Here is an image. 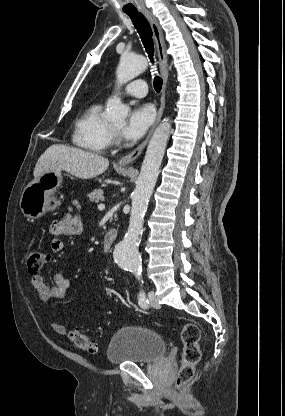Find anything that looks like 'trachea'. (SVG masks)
<instances>
[{"label": "trachea", "instance_id": "trachea-1", "mask_svg": "<svg viewBox=\"0 0 285 416\" xmlns=\"http://www.w3.org/2000/svg\"><path fill=\"white\" fill-rule=\"evenodd\" d=\"M129 17L131 18L134 27L138 31V34L140 35V38L143 42L144 48L146 52L148 53V56L150 58V61L152 64H154V42L152 39V29L142 13H128ZM154 89L157 93H159L162 89L163 80L159 76L154 77Z\"/></svg>", "mask_w": 285, "mask_h": 416}]
</instances>
